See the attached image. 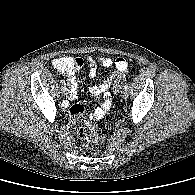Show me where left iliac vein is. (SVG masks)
<instances>
[{
    "label": "left iliac vein",
    "instance_id": "obj_1",
    "mask_svg": "<svg viewBox=\"0 0 195 195\" xmlns=\"http://www.w3.org/2000/svg\"><path fill=\"white\" fill-rule=\"evenodd\" d=\"M127 96H128V90L124 88V89L121 91V97H122L123 99H126Z\"/></svg>",
    "mask_w": 195,
    "mask_h": 195
}]
</instances>
